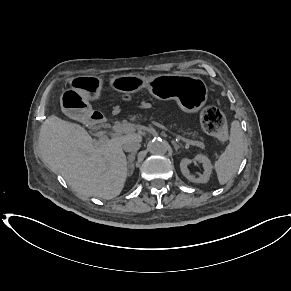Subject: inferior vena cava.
Segmentation results:
<instances>
[{
	"mask_svg": "<svg viewBox=\"0 0 291 291\" xmlns=\"http://www.w3.org/2000/svg\"><path fill=\"white\" fill-rule=\"evenodd\" d=\"M141 147L139 141H130L123 144V150L126 152H136Z\"/></svg>",
	"mask_w": 291,
	"mask_h": 291,
	"instance_id": "1",
	"label": "inferior vena cava"
}]
</instances>
